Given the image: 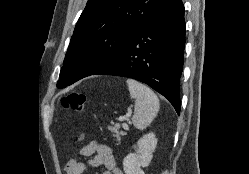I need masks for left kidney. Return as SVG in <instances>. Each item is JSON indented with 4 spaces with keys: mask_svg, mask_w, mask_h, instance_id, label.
I'll list each match as a JSON object with an SVG mask.
<instances>
[{
    "mask_svg": "<svg viewBox=\"0 0 249 174\" xmlns=\"http://www.w3.org/2000/svg\"><path fill=\"white\" fill-rule=\"evenodd\" d=\"M157 145V138L154 133H148L137 142L136 151L128 154L123 160L125 174H144L141 167H147L153 157Z\"/></svg>",
    "mask_w": 249,
    "mask_h": 174,
    "instance_id": "5707ae66",
    "label": "left kidney"
}]
</instances>
